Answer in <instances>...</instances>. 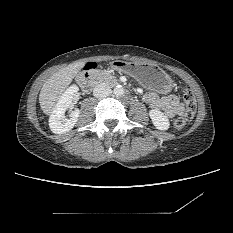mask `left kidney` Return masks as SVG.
I'll list each match as a JSON object with an SVG mask.
<instances>
[{
	"mask_svg": "<svg viewBox=\"0 0 233 233\" xmlns=\"http://www.w3.org/2000/svg\"><path fill=\"white\" fill-rule=\"evenodd\" d=\"M149 116L154 126L159 130H167L170 126L169 119L159 110H150Z\"/></svg>",
	"mask_w": 233,
	"mask_h": 233,
	"instance_id": "left-kidney-1",
	"label": "left kidney"
}]
</instances>
